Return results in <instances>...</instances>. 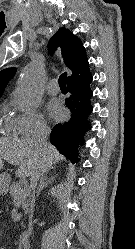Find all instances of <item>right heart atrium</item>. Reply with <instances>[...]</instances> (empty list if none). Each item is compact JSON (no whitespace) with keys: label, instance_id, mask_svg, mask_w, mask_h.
Wrapping results in <instances>:
<instances>
[{"label":"right heart atrium","instance_id":"d8ad5b80","mask_svg":"<svg viewBox=\"0 0 135 249\" xmlns=\"http://www.w3.org/2000/svg\"><path fill=\"white\" fill-rule=\"evenodd\" d=\"M16 133L22 137L41 135L48 132V125L41 113L32 110L13 118Z\"/></svg>","mask_w":135,"mask_h":249}]
</instances>
